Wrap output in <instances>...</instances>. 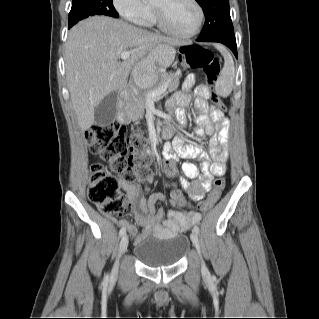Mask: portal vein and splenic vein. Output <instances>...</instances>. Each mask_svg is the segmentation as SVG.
<instances>
[{
    "label": "portal vein and splenic vein",
    "mask_w": 319,
    "mask_h": 319,
    "mask_svg": "<svg viewBox=\"0 0 319 319\" xmlns=\"http://www.w3.org/2000/svg\"><path fill=\"white\" fill-rule=\"evenodd\" d=\"M131 52L130 51H123L120 53V58L123 60H126L130 57ZM167 89V85H164L158 89H155L153 91L148 92L147 94V99H152L155 98L156 96L162 94L163 92H165Z\"/></svg>",
    "instance_id": "1"
}]
</instances>
